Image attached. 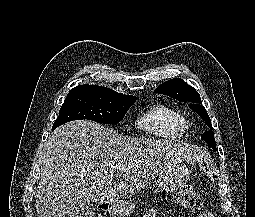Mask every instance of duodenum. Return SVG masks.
I'll return each instance as SVG.
<instances>
[{
  "label": "duodenum",
  "instance_id": "1",
  "mask_svg": "<svg viewBox=\"0 0 255 217\" xmlns=\"http://www.w3.org/2000/svg\"><path fill=\"white\" fill-rule=\"evenodd\" d=\"M100 208L103 211H108L109 210V206L108 205H101Z\"/></svg>",
  "mask_w": 255,
  "mask_h": 217
}]
</instances>
